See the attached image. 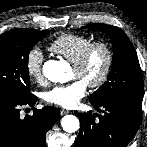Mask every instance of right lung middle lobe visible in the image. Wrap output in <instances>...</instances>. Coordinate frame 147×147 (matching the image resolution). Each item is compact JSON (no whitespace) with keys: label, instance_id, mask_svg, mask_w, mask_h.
I'll list each match as a JSON object with an SVG mask.
<instances>
[{"label":"right lung middle lobe","instance_id":"1","mask_svg":"<svg viewBox=\"0 0 147 147\" xmlns=\"http://www.w3.org/2000/svg\"><path fill=\"white\" fill-rule=\"evenodd\" d=\"M48 31L14 29L0 35V100L19 101L32 96L28 55Z\"/></svg>","mask_w":147,"mask_h":147}]
</instances>
